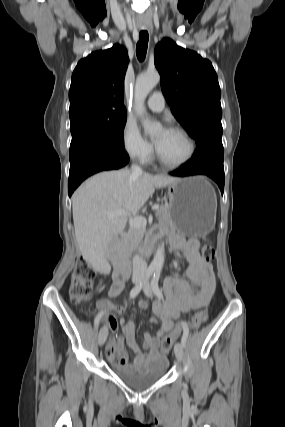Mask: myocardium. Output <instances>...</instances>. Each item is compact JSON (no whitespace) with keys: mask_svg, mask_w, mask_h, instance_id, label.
Here are the masks:
<instances>
[{"mask_svg":"<svg viewBox=\"0 0 285 427\" xmlns=\"http://www.w3.org/2000/svg\"><path fill=\"white\" fill-rule=\"evenodd\" d=\"M168 130L176 132V133H179V134H181L185 138V140L188 143V152H187L186 156L183 159H181L180 161H177V162H168V161L164 160L159 155V153L157 151V148H155V158L158 161V163L161 166H163V167H166V168H169V169L180 168V167L186 165L193 158V156L195 154V150H196L195 141L192 138V136L189 134V132L187 130H185L184 128H182V127L172 126Z\"/></svg>","mask_w":285,"mask_h":427,"instance_id":"myocardium-1","label":"myocardium"}]
</instances>
